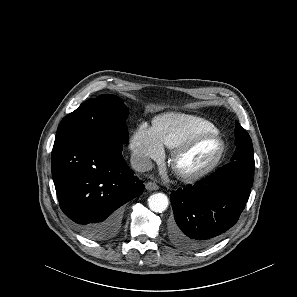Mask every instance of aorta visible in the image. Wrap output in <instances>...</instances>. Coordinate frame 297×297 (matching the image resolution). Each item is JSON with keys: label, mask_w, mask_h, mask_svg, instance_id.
I'll list each match as a JSON object with an SVG mask.
<instances>
[{"label": "aorta", "mask_w": 297, "mask_h": 297, "mask_svg": "<svg viewBox=\"0 0 297 297\" xmlns=\"http://www.w3.org/2000/svg\"><path fill=\"white\" fill-rule=\"evenodd\" d=\"M168 204V198L163 193L153 194L148 199L149 208L154 212L162 213L166 210Z\"/></svg>", "instance_id": "762f6f07"}]
</instances>
